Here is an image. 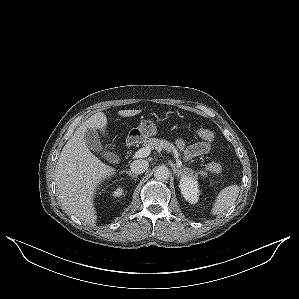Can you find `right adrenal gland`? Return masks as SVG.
<instances>
[{"mask_svg": "<svg viewBox=\"0 0 299 299\" xmlns=\"http://www.w3.org/2000/svg\"><path fill=\"white\" fill-rule=\"evenodd\" d=\"M126 174H128V176H130L132 179H135L138 177V175L131 173V171H126Z\"/></svg>", "mask_w": 299, "mask_h": 299, "instance_id": "right-adrenal-gland-1", "label": "right adrenal gland"}]
</instances>
